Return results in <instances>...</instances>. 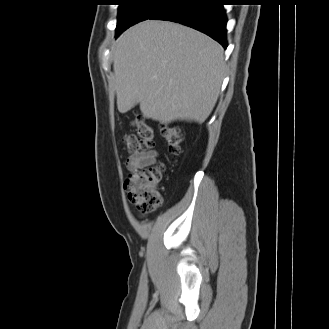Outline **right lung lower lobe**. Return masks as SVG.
<instances>
[{"label": "right lung lower lobe", "mask_w": 329, "mask_h": 329, "mask_svg": "<svg viewBox=\"0 0 329 329\" xmlns=\"http://www.w3.org/2000/svg\"><path fill=\"white\" fill-rule=\"evenodd\" d=\"M225 0H174L149 19L180 23L199 30L227 48Z\"/></svg>", "instance_id": "right-lung-lower-lobe-1"}]
</instances>
